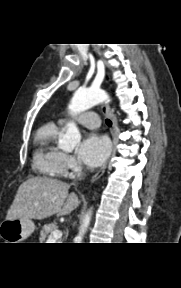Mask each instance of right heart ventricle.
I'll return each instance as SVG.
<instances>
[{"label": "right heart ventricle", "instance_id": "e07e8e85", "mask_svg": "<svg viewBox=\"0 0 181 288\" xmlns=\"http://www.w3.org/2000/svg\"><path fill=\"white\" fill-rule=\"evenodd\" d=\"M59 126L54 123L43 125L36 133L34 167L42 174L57 177L63 168L65 153L56 143Z\"/></svg>", "mask_w": 181, "mask_h": 288}]
</instances>
